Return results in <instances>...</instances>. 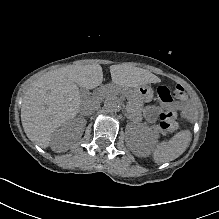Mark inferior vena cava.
Instances as JSON below:
<instances>
[{
    "label": "inferior vena cava",
    "instance_id": "1",
    "mask_svg": "<svg viewBox=\"0 0 219 219\" xmlns=\"http://www.w3.org/2000/svg\"><path fill=\"white\" fill-rule=\"evenodd\" d=\"M80 110L83 115L90 116L95 113L96 107L93 102L86 101L81 104Z\"/></svg>",
    "mask_w": 219,
    "mask_h": 219
}]
</instances>
